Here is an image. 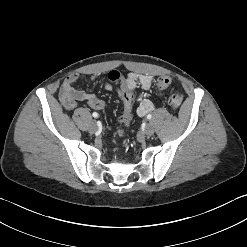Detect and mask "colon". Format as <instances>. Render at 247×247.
<instances>
[{"instance_id": "obj_1", "label": "colon", "mask_w": 247, "mask_h": 247, "mask_svg": "<svg viewBox=\"0 0 247 247\" xmlns=\"http://www.w3.org/2000/svg\"><path fill=\"white\" fill-rule=\"evenodd\" d=\"M108 77L113 86L116 87L117 98L121 108L123 109L121 119L125 125H128L131 121L133 110V94L130 92L131 86L126 81H124L123 76L118 71L110 72ZM169 84L170 78L167 76L159 77L156 82V86L159 90L167 88ZM182 101L183 97L179 93H174L168 98V104L174 110L181 106ZM124 133V131L121 132V134Z\"/></svg>"}]
</instances>
